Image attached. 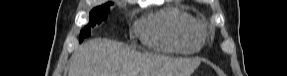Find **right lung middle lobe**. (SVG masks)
<instances>
[{
    "instance_id": "right-lung-middle-lobe-1",
    "label": "right lung middle lobe",
    "mask_w": 287,
    "mask_h": 76,
    "mask_svg": "<svg viewBox=\"0 0 287 76\" xmlns=\"http://www.w3.org/2000/svg\"><path fill=\"white\" fill-rule=\"evenodd\" d=\"M112 3H106L102 6L94 8L90 12V22L89 24L81 30L79 41L82 42L85 37L90 36V26H95L100 24L103 20L107 19L109 13V6Z\"/></svg>"
}]
</instances>
